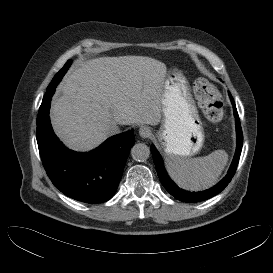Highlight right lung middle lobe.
<instances>
[{
    "mask_svg": "<svg viewBox=\"0 0 273 273\" xmlns=\"http://www.w3.org/2000/svg\"><path fill=\"white\" fill-rule=\"evenodd\" d=\"M71 65V60H68L64 67L55 75L49 86L47 87V92L52 91L56 88V86L61 81L64 74L67 72L69 66Z\"/></svg>",
    "mask_w": 273,
    "mask_h": 273,
    "instance_id": "dd1d6c3e",
    "label": "right lung middle lobe"
}]
</instances>
